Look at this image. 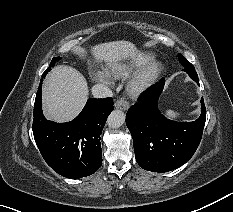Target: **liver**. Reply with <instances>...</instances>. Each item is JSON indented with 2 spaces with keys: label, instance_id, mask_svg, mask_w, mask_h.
<instances>
[{
  "label": "liver",
  "instance_id": "liver-1",
  "mask_svg": "<svg viewBox=\"0 0 233 212\" xmlns=\"http://www.w3.org/2000/svg\"><path fill=\"white\" fill-rule=\"evenodd\" d=\"M91 52L97 61L116 64L133 57L136 46L120 40L93 46ZM88 86L84 76L76 69L59 65L47 75L43 85V112L47 119L66 122L74 119L88 99Z\"/></svg>",
  "mask_w": 233,
  "mask_h": 212
}]
</instances>
